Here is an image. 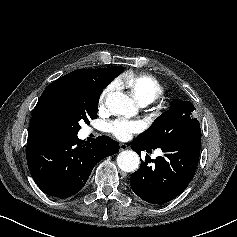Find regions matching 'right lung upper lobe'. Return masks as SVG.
<instances>
[{
  "instance_id": "cb5924a9",
  "label": "right lung upper lobe",
  "mask_w": 237,
  "mask_h": 237,
  "mask_svg": "<svg viewBox=\"0 0 237 237\" xmlns=\"http://www.w3.org/2000/svg\"><path fill=\"white\" fill-rule=\"evenodd\" d=\"M59 90L81 94L93 92L95 80L92 69L72 71L48 85L34 108L28 129V139L42 134L54 133L52 107L55 95Z\"/></svg>"
}]
</instances>
